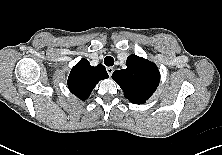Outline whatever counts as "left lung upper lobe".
Segmentation results:
<instances>
[{"label":"left lung upper lobe","instance_id":"5c2ea615","mask_svg":"<svg viewBox=\"0 0 222 155\" xmlns=\"http://www.w3.org/2000/svg\"><path fill=\"white\" fill-rule=\"evenodd\" d=\"M126 65V69L116 70L112 78L131 103L144 104L159 85L160 72L153 62L134 54L127 58Z\"/></svg>","mask_w":222,"mask_h":155}]
</instances>
